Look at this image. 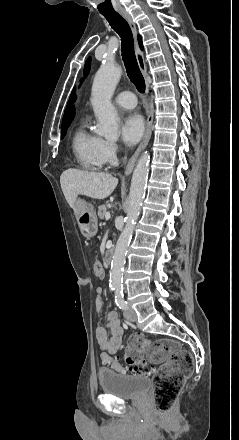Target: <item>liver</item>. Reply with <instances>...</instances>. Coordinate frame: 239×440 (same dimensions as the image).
I'll return each mask as SVG.
<instances>
[{
  "label": "liver",
  "mask_w": 239,
  "mask_h": 440,
  "mask_svg": "<svg viewBox=\"0 0 239 440\" xmlns=\"http://www.w3.org/2000/svg\"><path fill=\"white\" fill-rule=\"evenodd\" d=\"M62 192L70 206L74 208L77 196H88L95 200H104L114 192L118 180L104 172H82V170H65L60 176Z\"/></svg>",
  "instance_id": "1"
}]
</instances>
